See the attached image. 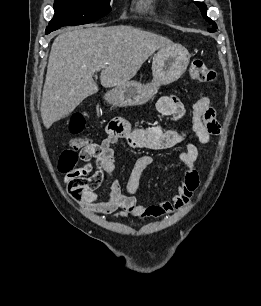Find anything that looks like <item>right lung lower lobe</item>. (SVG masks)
Here are the masks:
<instances>
[{
	"instance_id": "1",
	"label": "right lung lower lobe",
	"mask_w": 261,
	"mask_h": 306,
	"mask_svg": "<svg viewBox=\"0 0 261 306\" xmlns=\"http://www.w3.org/2000/svg\"><path fill=\"white\" fill-rule=\"evenodd\" d=\"M59 26H47L46 28V34H49L50 32L59 29Z\"/></svg>"
}]
</instances>
